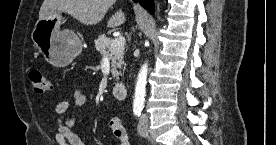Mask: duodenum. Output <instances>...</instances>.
I'll list each match as a JSON object with an SVG mask.
<instances>
[{
  "instance_id": "410a0bca",
  "label": "duodenum",
  "mask_w": 276,
  "mask_h": 145,
  "mask_svg": "<svg viewBox=\"0 0 276 145\" xmlns=\"http://www.w3.org/2000/svg\"><path fill=\"white\" fill-rule=\"evenodd\" d=\"M113 96L117 100H125L127 98L128 88L126 83L117 82L112 87Z\"/></svg>"
}]
</instances>
